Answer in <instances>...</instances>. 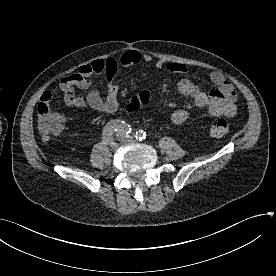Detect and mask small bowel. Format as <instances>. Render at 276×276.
Returning a JSON list of instances; mask_svg holds the SVG:
<instances>
[{"label": "small bowel", "mask_w": 276, "mask_h": 276, "mask_svg": "<svg viewBox=\"0 0 276 276\" xmlns=\"http://www.w3.org/2000/svg\"><path fill=\"white\" fill-rule=\"evenodd\" d=\"M151 62L152 57L149 54H143L135 50L126 51L118 58L96 59L82 65L77 72L62 78L59 88L63 93L65 103L69 107L77 109L90 108L100 113L111 114L119 108L118 87L113 84V79L120 66L130 67ZM155 68L177 74L187 72L186 67L182 64L166 63L161 60L155 63ZM100 74H104L108 81L105 97H102L97 90L91 89L92 82L90 78ZM210 80L216 86V89L209 92L203 91L188 78H182L177 87L182 95L190 97L197 107L206 108L211 115L233 117L237 112V94L234 87L222 74L217 72L210 75ZM76 89L86 90L87 94L82 96L76 92ZM51 99L52 93L46 92L42 95L40 101L50 103ZM189 116V110L181 108L172 113L171 120L174 124L181 125L188 120Z\"/></svg>", "instance_id": "1"}]
</instances>
